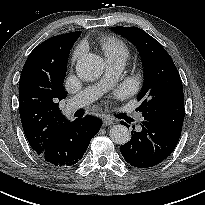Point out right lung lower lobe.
I'll return each mask as SVG.
<instances>
[{
  "instance_id": "obj_1",
  "label": "right lung lower lobe",
  "mask_w": 205,
  "mask_h": 205,
  "mask_svg": "<svg viewBox=\"0 0 205 205\" xmlns=\"http://www.w3.org/2000/svg\"><path fill=\"white\" fill-rule=\"evenodd\" d=\"M100 127V120L89 116L66 121L39 156L52 166H72L81 160Z\"/></svg>"
}]
</instances>
